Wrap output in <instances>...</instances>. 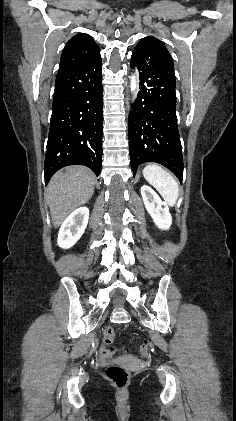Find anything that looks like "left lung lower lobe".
<instances>
[{
	"label": "left lung lower lobe",
	"mask_w": 236,
	"mask_h": 421,
	"mask_svg": "<svg viewBox=\"0 0 236 421\" xmlns=\"http://www.w3.org/2000/svg\"><path fill=\"white\" fill-rule=\"evenodd\" d=\"M136 66L140 71V90L128 124L133 175L140 164L157 162L182 183L173 59L166 48L137 45L131 56V68Z\"/></svg>",
	"instance_id": "left-lung-lower-lobe-1"
}]
</instances>
